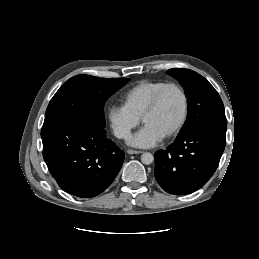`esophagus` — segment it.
Masks as SVG:
<instances>
[{
  "instance_id": "1",
  "label": "esophagus",
  "mask_w": 259,
  "mask_h": 259,
  "mask_svg": "<svg viewBox=\"0 0 259 259\" xmlns=\"http://www.w3.org/2000/svg\"><path fill=\"white\" fill-rule=\"evenodd\" d=\"M127 153H128V154H141V153H143V152H142V151H139V150L128 149V150H127Z\"/></svg>"
}]
</instances>
